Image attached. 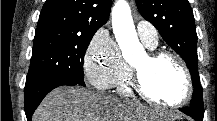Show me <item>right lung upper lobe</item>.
Segmentation results:
<instances>
[{
    "mask_svg": "<svg viewBox=\"0 0 217 121\" xmlns=\"http://www.w3.org/2000/svg\"><path fill=\"white\" fill-rule=\"evenodd\" d=\"M111 3L112 0H46L37 28L95 33L108 21Z\"/></svg>",
    "mask_w": 217,
    "mask_h": 121,
    "instance_id": "obj_1",
    "label": "right lung upper lobe"
}]
</instances>
